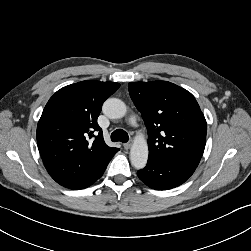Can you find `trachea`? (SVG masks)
Masks as SVG:
<instances>
[{"label": "trachea", "mask_w": 251, "mask_h": 251, "mask_svg": "<svg viewBox=\"0 0 251 251\" xmlns=\"http://www.w3.org/2000/svg\"><path fill=\"white\" fill-rule=\"evenodd\" d=\"M111 140L113 142L120 141L126 143L129 140V136L123 129H117L111 134Z\"/></svg>", "instance_id": "1"}]
</instances>
